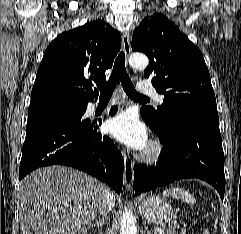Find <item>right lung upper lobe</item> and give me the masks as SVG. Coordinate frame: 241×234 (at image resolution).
Listing matches in <instances>:
<instances>
[{
    "label": "right lung upper lobe",
    "instance_id": "1",
    "mask_svg": "<svg viewBox=\"0 0 241 234\" xmlns=\"http://www.w3.org/2000/svg\"><path fill=\"white\" fill-rule=\"evenodd\" d=\"M121 37L101 19L61 33L47 47L37 71L30 105L44 102L87 104L98 97L92 82L106 80Z\"/></svg>",
    "mask_w": 241,
    "mask_h": 234
}]
</instances>
